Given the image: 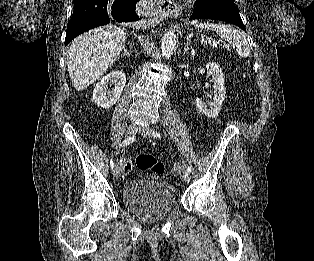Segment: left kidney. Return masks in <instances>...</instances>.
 <instances>
[{
    "label": "left kidney",
    "instance_id": "1",
    "mask_svg": "<svg viewBox=\"0 0 314 261\" xmlns=\"http://www.w3.org/2000/svg\"><path fill=\"white\" fill-rule=\"evenodd\" d=\"M207 75L211 76L214 80V96L210 103L203 102L202 99L196 98L195 104L197 109L209 118L218 116L221 110L222 102L225 99L226 92L224 88V77L222 69L214 62H209L206 65Z\"/></svg>",
    "mask_w": 314,
    "mask_h": 261
}]
</instances>
